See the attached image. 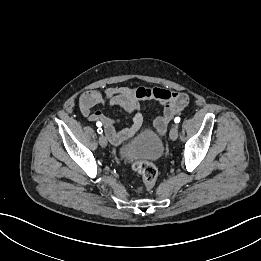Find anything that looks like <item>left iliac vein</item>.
<instances>
[{
	"label": "left iliac vein",
	"instance_id": "1",
	"mask_svg": "<svg viewBox=\"0 0 261 261\" xmlns=\"http://www.w3.org/2000/svg\"><path fill=\"white\" fill-rule=\"evenodd\" d=\"M171 140L175 141L178 138V125H173L169 134Z\"/></svg>",
	"mask_w": 261,
	"mask_h": 261
}]
</instances>
